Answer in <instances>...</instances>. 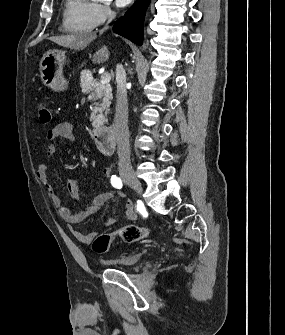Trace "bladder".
<instances>
[{"label": "bladder", "instance_id": "bladder-1", "mask_svg": "<svg viewBox=\"0 0 285 335\" xmlns=\"http://www.w3.org/2000/svg\"><path fill=\"white\" fill-rule=\"evenodd\" d=\"M143 256L142 251L125 253L122 256L113 258H97V265H138Z\"/></svg>", "mask_w": 285, "mask_h": 335}]
</instances>
